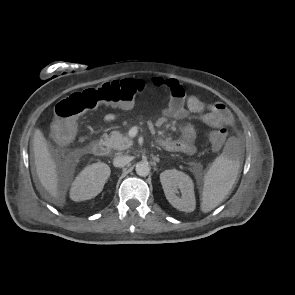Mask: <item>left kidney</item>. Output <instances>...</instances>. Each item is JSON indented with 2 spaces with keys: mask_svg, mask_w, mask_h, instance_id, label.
Listing matches in <instances>:
<instances>
[{
  "mask_svg": "<svg viewBox=\"0 0 295 295\" xmlns=\"http://www.w3.org/2000/svg\"><path fill=\"white\" fill-rule=\"evenodd\" d=\"M166 199L179 211L192 212L195 209V194L192 179L176 169L165 170L160 174ZM179 192L181 196H179Z\"/></svg>",
  "mask_w": 295,
  "mask_h": 295,
  "instance_id": "obj_1",
  "label": "left kidney"
}]
</instances>
